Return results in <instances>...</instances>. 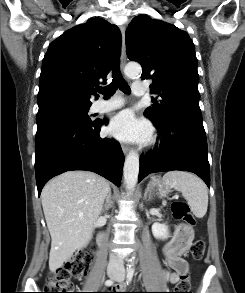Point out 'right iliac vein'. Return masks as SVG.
Segmentation results:
<instances>
[{
    "mask_svg": "<svg viewBox=\"0 0 245 293\" xmlns=\"http://www.w3.org/2000/svg\"><path fill=\"white\" fill-rule=\"evenodd\" d=\"M108 275L111 277V278H116L118 276V274L116 272H113V271H109L108 272Z\"/></svg>",
    "mask_w": 245,
    "mask_h": 293,
    "instance_id": "right-iliac-vein-1",
    "label": "right iliac vein"
}]
</instances>
